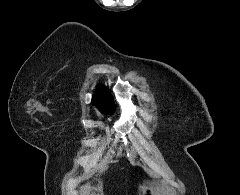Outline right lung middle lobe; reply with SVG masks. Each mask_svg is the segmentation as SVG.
<instances>
[{"instance_id": "obj_1", "label": "right lung middle lobe", "mask_w": 240, "mask_h": 195, "mask_svg": "<svg viewBox=\"0 0 240 195\" xmlns=\"http://www.w3.org/2000/svg\"><path fill=\"white\" fill-rule=\"evenodd\" d=\"M101 112L103 113H111L113 112L114 107H107V106H98Z\"/></svg>"}]
</instances>
